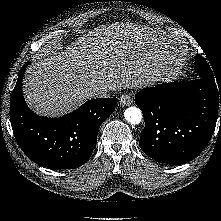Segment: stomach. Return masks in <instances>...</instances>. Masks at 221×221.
<instances>
[{
	"mask_svg": "<svg viewBox=\"0 0 221 221\" xmlns=\"http://www.w3.org/2000/svg\"><path fill=\"white\" fill-rule=\"evenodd\" d=\"M156 40L158 42L159 51L163 52L165 55H170L175 59V56L177 55V52L179 51L177 44L171 41L170 39H168L167 37H163V36H158ZM164 72L165 73H163L162 75L166 74L168 70H165ZM161 76L159 77L158 80L161 79Z\"/></svg>",
	"mask_w": 221,
	"mask_h": 221,
	"instance_id": "obj_1",
	"label": "stomach"
}]
</instances>
